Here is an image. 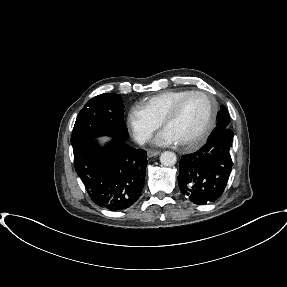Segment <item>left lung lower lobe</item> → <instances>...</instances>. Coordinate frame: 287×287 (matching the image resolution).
<instances>
[{"label": "left lung lower lobe", "instance_id": "0a47b994", "mask_svg": "<svg viewBox=\"0 0 287 287\" xmlns=\"http://www.w3.org/2000/svg\"><path fill=\"white\" fill-rule=\"evenodd\" d=\"M233 136V131L224 129L209 137L198 151L181 157L179 188L193 203L207 204L223 194L233 166Z\"/></svg>", "mask_w": 287, "mask_h": 287}]
</instances>
